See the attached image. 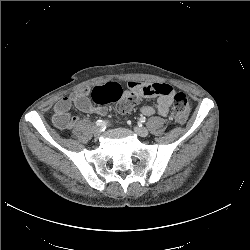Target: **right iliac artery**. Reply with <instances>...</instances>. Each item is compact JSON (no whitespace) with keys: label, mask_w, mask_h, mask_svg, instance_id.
Wrapping results in <instances>:
<instances>
[{"label":"right iliac artery","mask_w":250,"mask_h":250,"mask_svg":"<svg viewBox=\"0 0 250 250\" xmlns=\"http://www.w3.org/2000/svg\"><path fill=\"white\" fill-rule=\"evenodd\" d=\"M95 124L97 125V126H101L102 128L104 127H106V125H107V123L105 122V121H103V120H97L96 122H95Z\"/></svg>","instance_id":"obj_1"}]
</instances>
